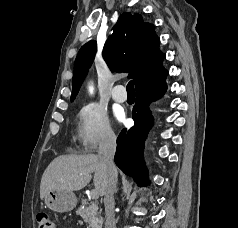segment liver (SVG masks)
<instances>
[{
	"mask_svg": "<svg viewBox=\"0 0 238 228\" xmlns=\"http://www.w3.org/2000/svg\"><path fill=\"white\" fill-rule=\"evenodd\" d=\"M100 196L105 195L108 170L99 155H62L46 168L40 183V198L52 190L78 191L92 179Z\"/></svg>",
	"mask_w": 238,
	"mask_h": 228,
	"instance_id": "6515ba94",
	"label": "liver"
}]
</instances>
